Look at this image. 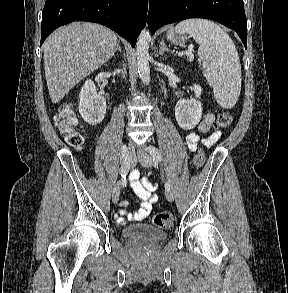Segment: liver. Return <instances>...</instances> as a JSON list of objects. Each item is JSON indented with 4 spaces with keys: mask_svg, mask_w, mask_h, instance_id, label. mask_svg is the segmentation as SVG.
Segmentation results:
<instances>
[{
    "mask_svg": "<svg viewBox=\"0 0 288 293\" xmlns=\"http://www.w3.org/2000/svg\"><path fill=\"white\" fill-rule=\"evenodd\" d=\"M117 35L95 23L74 22L44 42V68L51 101L58 103L83 78L115 53Z\"/></svg>",
    "mask_w": 288,
    "mask_h": 293,
    "instance_id": "liver-1",
    "label": "liver"
}]
</instances>
